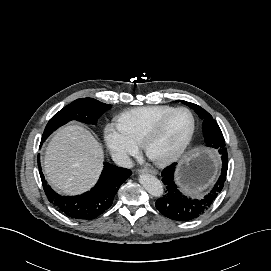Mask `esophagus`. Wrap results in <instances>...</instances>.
I'll list each match as a JSON object with an SVG mask.
<instances>
[{"label": "esophagus", "instance_id": "1", "mask_svg": "<svg viewBox=\"0 0 271 271\" xmlns=\"http://www.w3.org/2000/svg\"><path fill=\"white\" fill-rule=\"evenodd\" d=\"M137 172L139 174H152V175H156L157 172L153 169H149V168H142V169H138Z\"/></svg>", "mask_w": 271, "mask_h": 271}]
</instances>
